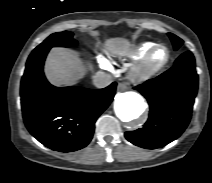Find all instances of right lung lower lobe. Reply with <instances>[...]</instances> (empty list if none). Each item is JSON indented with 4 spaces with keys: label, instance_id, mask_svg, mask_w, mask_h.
I'll use <instances>...</instances> for the list:
<instances>
[{
    "label": "right lung lower lobe",
    "instance_id": "98d812e1",
    "mask_svg": "<svg viewBox=\"0 0 212 183\" xmlns=\"http://www.w3.org/2000/svg\"><path fill=\"white\" fill-rule=\"evenodd\" d=\"M50 49H34L21 80L25 125L43 145L60 152L84 148L92 139L95 122L112 102L116 83L103 89L55 87L43 73Z\"/></svg>",
    "mask_w": 212,
    "mask_h": 183
}]
</instances>
